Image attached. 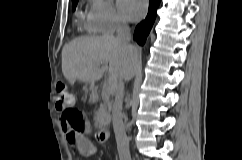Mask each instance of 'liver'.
<instances>
[{
    "label": "liver",
    "mask_w": 242,
    "mask_h": 160,
    "mask_svg": "<svg viewBox=\"0 0 242 160\" xmlns=\"http://www.w3.org/2000/svg\"><path fill=\"white\" fill-rule=\"evenodd\" d=\"M124 50L125 48L113 36L74 39L62 49L63 75L70 84L78 80L94 85L103 77L105 71L100 69V65L109 64L108 84L111 93L115 92L119 82V63H122ZM137 58L139 59V56Z\"/></svg>",
    "instance_id": "1"
}]
</instances>
